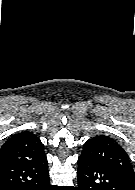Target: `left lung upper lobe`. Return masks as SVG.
Masks as SVG:
<instances>
[{"label": "left lung upper lobe", "mask_w": 135, "mask_h": 190, "mask_svg": "<svg viewBox=\"0 0 135 190\" xmlns=\"http://www.w3.org/2000/svg\"><path fill=\"white\" fill-rule=\"evenodd\" d=\"M81 157L101 162L135 187V173L125 150L111 137L96 136L87 140Z\"/></svg>", "instance_id": "left-lung-upper-lobe-1"}]
</instances>
